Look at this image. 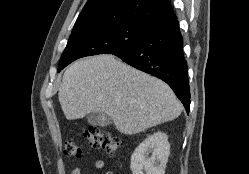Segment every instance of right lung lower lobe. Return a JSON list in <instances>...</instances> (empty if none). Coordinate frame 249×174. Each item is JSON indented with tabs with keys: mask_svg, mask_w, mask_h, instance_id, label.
<instances>
[{
	"mask_svg": "<svg viewBox=\"0 0 249 174\" xmlns=\"http://www.w3.org/2000/svg\"><path fill=\"white\" fill-rule=\"evenodd\" d=\"M112 54L127 64L165 81L189 113L187 63L183 55V38L175 15L148 22L142 37L136 43Z\"/></svg>",
	"mask_w": 249,
	"mask_h": 174,
	"instance_id": "right-lung-lower-lobe-1",
	"label": "right lung lower lobe"
}]
</instances>
